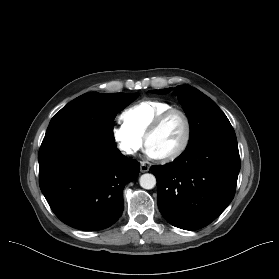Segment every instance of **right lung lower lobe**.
I'll return each instance as SVG.
<instances>
[{
  "mask_svg": "<svg viewBox=\"0 0 279 279\" xmlns=\"http://www.w3.org/2000/svg\"><path fill=\"white\" fill-rule=\"evenodd\" d=\"M39 185L55 215L80 230L114 224L123 212V189L140 164L114 144L79 131L45 136L39 155Z\"/></svg>",
  "mask_w": 279,
  "mask_h": 279,
  "instance_id": "1",
  "label": "right lung lower lobe"
}]
</instances>
